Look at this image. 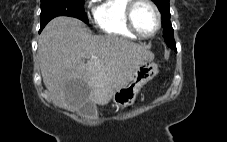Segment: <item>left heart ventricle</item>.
Instances as JSON below:
<instances>
[{"instance_id": "left-heart-ventricle-1", "label": "left heart ventricle", "mask_w": 227, "mask_h": 142, "mask_svg": "<svg viewBox=\"0 0 227 142\" xmlns=\"http://www.w3.org/2000/svg\"><path fill=\"white\" fill-rule=\"evenodd\" d=\"M134 21L138 30L145 34H151L157 27V19L154 10L147 4H140L134 13Z\"/></svg>"}]
</instances>
